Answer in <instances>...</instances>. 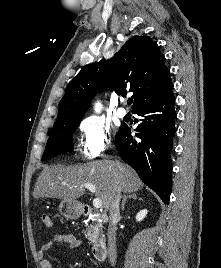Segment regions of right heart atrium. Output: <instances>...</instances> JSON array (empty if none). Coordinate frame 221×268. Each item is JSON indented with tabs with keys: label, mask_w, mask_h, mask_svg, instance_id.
Segmentation results:
<instances>
[{
	"label": "right heart atrium",
	"mask_w": 221,
	"mask_h": 268,
	"mask_svg": "<svg viewBox=\"0 0 221 268\" xmlns=\"http://www.w3.org/2000/svg\"><path fill=\"white\" fill-rule=\"evenodd\" d=\"M82 134L81 153L84 158L95 159L100 157L111 142V128L97 117H87L80 123Z\"/></svg>",
	"instance_id": "1"
}]
</instances>
